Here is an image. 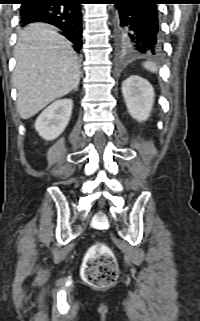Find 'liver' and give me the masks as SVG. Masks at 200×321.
Segmentation results:
<instances>
[{"label":"liver","instance_id":"1","mask_svg":"<svg viewBox=\"0 0 200 321\" xmlns=\"http://www.w3.org/2000/svg\"><path fill=\"white\" fill-rule=\"evenodd\" d=\"M13 84L17 109L28 119L67 95L80 82V65L71 43L50 25L34 23L19 34Z\"/></svg>","mask_w":200,"mask_h":321}]
</instances>
